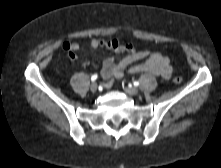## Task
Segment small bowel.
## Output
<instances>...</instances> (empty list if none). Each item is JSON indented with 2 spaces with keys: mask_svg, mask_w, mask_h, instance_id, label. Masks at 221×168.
<instances>
[{
  "mask_svg": "<svg viewBox=\"0 0 221 168\" xmlns=\"http://www.w3.org/2000/svg\"><path fill=\"white\" fill-rule=\"evenodd\" d=\"M89 46L93 49L106 47L115 54H125V56L119 60L114 56H109L104 59L102 76L106 87L111 86L116 79L122 78L126 72L131 74L147 72L164 79L170 78L172 74L170 59L161 53L152 52L150 50L137 51L132 44H121L116 39L110 41L92 40ZM63 48L67 52L68 57L74 60L76 59V51L80 49V45L77 42H65ZM139 60L144 61L134 64ZM88 64V61L84 62V65Z\"/></svg>",
  "mask_w": 221,
  "mask_h": 168,
  "instance_id": "small-bowel-1",
  "label": "small bowel"
}]
</instances>
